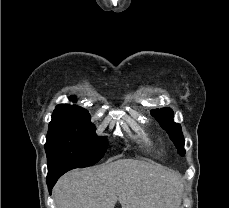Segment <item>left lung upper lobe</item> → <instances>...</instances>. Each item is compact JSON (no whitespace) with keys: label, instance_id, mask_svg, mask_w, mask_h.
Listing matches in <instances>:
<instances>
[{"label":"left lung upper lobe","instance_id":"5c2ea615","mask_svg":"<svg viewBox=\"0 0 229 208\" xmlns=\"http://www.w3.org/2000/svg\"><path fill=\"white\" fill-rule=\"evenodd\" d=\"M152 116L161 124V127L169 134L180 155H184V137L180 124L173 122V111L171 108H161L151 111Z\"/></svg>","mask_w":229,"mask_h":208}]
</instances>
